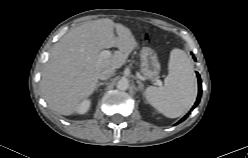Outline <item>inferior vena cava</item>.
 I'll list each match as a JSON object with an SVG mask.
<instances>
[{
	"instance_id": "602c4592",
	"label": "inferior vena cava",
	"mask_w": 248,
	"mask_h": 158,
	"mask_svg": "<svg viewBox=\"0 0 248 158\" xmlns=\"http://www.w3.org/2000/svg\"><path fill=\"white\" fill-rule=\"evenodd\" d=\"M114 72H115V69L113 67L105 68L99 74V79L107 80L108 78H110L114 74Z\"/></svg>"
}]
</instances>
